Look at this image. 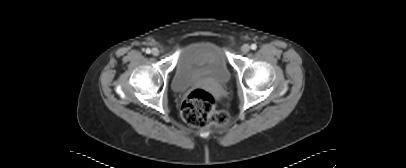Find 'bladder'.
<instances>
[{
	"label": "bladder",
	"mask_w": 406,
	"mask_h": 168,
	"mask_svg": "<svg viewBox=\"0 0 406 168\" xmlns=\"http://www.w3.org/2000/svg\"><path fill=\"white\" fill-rule=\"evenodd\" d=\"M229 79L230 70L221 49L210 41H195L179 53L172 88L182 92L202 80L225 84Z\"/></svg>",
	"instance_id": "obj_1"
}]
</instances>
